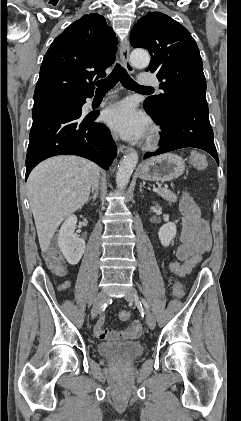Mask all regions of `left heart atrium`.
<instances>
[{"label": "left heart atrium", "mask_w": 241, "mask_h": 421, "mask_svg": "<svg viewBox=\"0 0 241 421\" xmlns=\"http://www.w3.org/2000/svg\"><path fill=\"white\" fill-rule=\"evenodd\" d=\"M105 122L120 136L139 140L149 130V120L131 100H124L108 107L104 112Z\"/></svg>", "instance_id": "39dd6f15"}]
</instances>
